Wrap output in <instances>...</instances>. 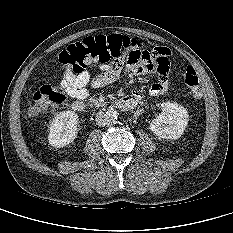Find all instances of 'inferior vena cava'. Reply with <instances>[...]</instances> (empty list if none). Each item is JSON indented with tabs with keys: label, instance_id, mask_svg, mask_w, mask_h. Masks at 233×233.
Segmentation results:
<instances>
[{
	"label": "inferior vena cava",
	"instance_id": "1",
	"mask_svg": "<svg viewBox=\"0 0 233 233\" xmlns=\"http://www.w3.org/2000/svg\"><path fill=\"white\" fill-rule=\"evenodd\" d=\"M96 123L99 126H105L109 124V121L104 112H98L95 117Z\"/></svg>",
	"mask_w": 233,
	"mask_h": 233
}]
</instances>
